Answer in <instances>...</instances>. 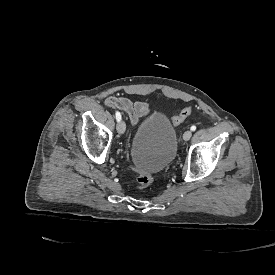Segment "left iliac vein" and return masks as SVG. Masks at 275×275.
Listing matches in <instances>:
<instances>
[{
	"label": "left iliac vein",
	"instance_id": "4c4485c4",
	"mask_svg": "<svg viewBox=\"0 0 275 275\" xmlns=\"http://www.w3.org/2000/svg\"><path fill=\"white\" fill-rule=\"evenodd\" d=\"M191 136H192V131L187 130V131L183 134V139H184L185 141H188V140L191 138Z\"/></svg>",
	"mask_w": 275,
	"mask_h": 275
}]
</instances>
